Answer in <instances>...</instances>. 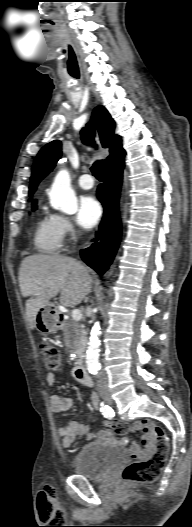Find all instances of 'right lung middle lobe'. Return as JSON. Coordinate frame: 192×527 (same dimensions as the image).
Segmentation results:
<instances>
[{"mask_svg":"<svg viewBox=\"0 0 192 527\" xmlns=\"http://www.w3.org/2000/svg\"><path fill=\"white\" fill-rule=\"evenodd\" d=\"M35 203H36V202H34V203H33V210H35V209H36Z\"/></svg>","mask_w":192,"mask_h":527,"instance_id":"1","label":"right lung middle lobe"}]
</instances>
